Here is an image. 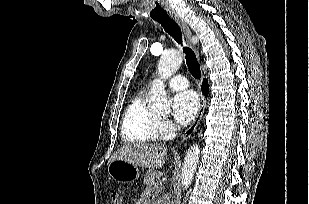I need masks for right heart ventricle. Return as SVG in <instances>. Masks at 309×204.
<instances>
[{
    "label": "right heart ventricle",
    "instance_id": "1",
    "mask_svg": "<svg viewBox=\"0 0 309 204\" xmlns=\"http://www.w3.org/2000/svg\"><path fill=\"white\" fill-rule=\"evenodd\" d=\"M159 118L147 107L144 95L136 96L123 116L121 135L124 142L144 143L158 138Z\"/></svg>",
    "mask_w": 309,
    "mask_h": 204
}]
</instances>
